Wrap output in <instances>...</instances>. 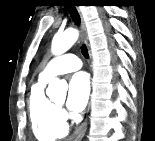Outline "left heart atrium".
<instances>
[{
    "label": "left heart atrium",
    "instance_id": "left-heart-atrium-1",
    "mask_svg": "<svg viewBox=\"0 0 155 141\" xmlns=\"http://www.w3.org/2000/svg\"><path fill=\"white\" fill-rule=\"evenodd\" d=\"M90 84L87 74L80 72L75 74L69 83L68 107L75 111H82L88 102Z\"/></svg>",
    "mask_w": 155,
    "mask_h": 141
}]
</instances>
